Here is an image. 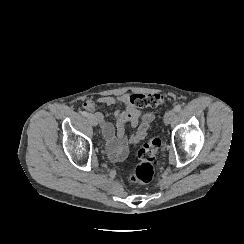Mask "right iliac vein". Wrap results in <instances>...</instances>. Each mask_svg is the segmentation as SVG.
I'll use <instances>...</instances> for the list:
<instances>
[{"label":"right iliac vein","mask_w":244,"mask_h":244,"mask_svg":"<svg viewBox=\"0 0 244 244\" xmlns=\"http://www.w3.org/2000/svg\"><path fill=\"white\" fill-rule=\"evenodd\" d=\"M87 118H88L89 122L91 123V125H93V126H97V124H98V120H97V118H96L95 115H93V114H89V115L87 116Z\"/></svg>","instance_id":"obj_1"}]
</instances>
